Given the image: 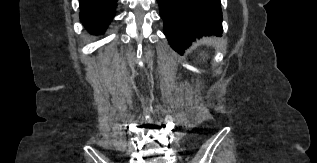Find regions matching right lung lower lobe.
I'll return each instance as SVG.
<instances>
[{"instance_id":"98d812e1","label":"right lung lower lobe","mask_w":317,"mask_h":163,"mask_svg":"<svg viewBox=\"0 0 317 163\" xmlns=\"http://www.w3.org/2000/svg\"><path fill=\"white\" fill-rule=\"evenodd\" d=\"M117 0H79L80 18L93 34H101L115 15Z\"/></svg>"}]
</instances>
